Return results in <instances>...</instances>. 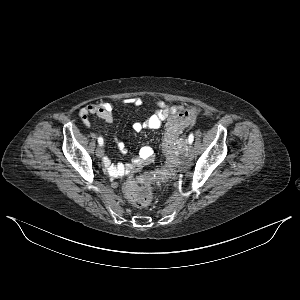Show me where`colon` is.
<instances>
[{
  "mask_svg": "<svg viewBox=\"0 0 300 300\" xmlns=\"http://www.w3.org/2000/svg\"><path fill=\"white\" fill-rule=\"evenodd\" d=\"M197 108H190L175 114L168 123L163 149L167 155V166L152 173L145 174L137 182L126 185L125 192L133 205L146 206L151 198L150 185L164 184L176 172L178 166L177 139L183 130L190 125L198 115Z\"/></svg>",
  "mask_w": 300,
  "mask_h": 300,
  "instance_id": "1",
  "label": "colon"
}]
</instances>
